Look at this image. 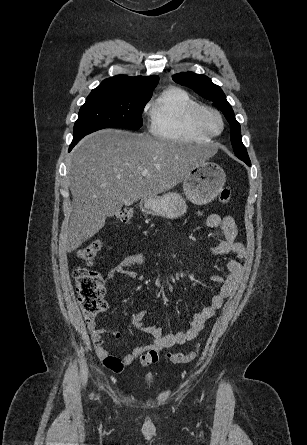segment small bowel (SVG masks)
<instances>
[{"mask_svg": "<svg viewBox=\"0 0 307 445\" xmlns=\"http://www.w3.org/2000/svg\"><path fill=\"white\" fill-rule=\"evenodd\" d=\"M205 220L206 225L218 236L215 245L212 247V254L215 256L234 254L237 257V259L226 261L225 275L211 276L213 281L220 284L218 292L211 298L206 307L193 315L187 330L175 334L163 335L159 327L144 325L145 310L133 313L131 315L132 325L137 330L150 335L152 341L148 345L135 347L130 353L122 356L109 354L104 346L105 342L103 339V334L106 331L97 328L94 319L89 320L87 325L96 355L108 369L113 372H120L124 367L131 365L137 358L140 359L142 366L156 363L161 350L194 340L204 328L205 322L214 315L215 311L223 305L225 299L231 295L241 274V261L245 255V248L240 242L236 241L238 230L232 216L222 217L217 213H212L207 215ZM148 263L149 258L144 254H129L107 272L105 281H110L118 276L135 278L137 273L132 268L134 266L147 265ZM114 335L118 336L117 334Z\"/></svg>", "mask_w": 307, "mask_h": 445, "instance_id": "c3829d8e", "label": "small bowel"}]
</instances>
